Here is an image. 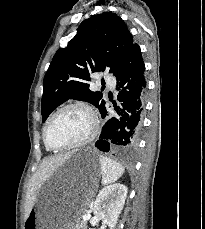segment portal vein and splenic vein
<instances>
[{"mask_svg": "<svg viewBox=\"0 0 205 229\" xmlns=\"http://www.w3.org/2000/svg\"><path fill=\"white\" fill-rule=\"evenodd\" d=\"M88 218H89L88 215L83 216V220H86V219H88Z\"/></svg>", "mask_w": 205, "mask_h": 229, "instance_id": "obj_1", "label": "portal vein and splenic vein"}]
</instances>
